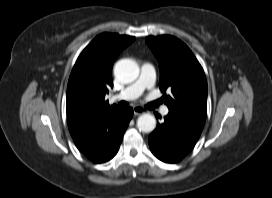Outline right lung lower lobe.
<instances>
[{"label": "right lung lower lobe", "instance_id": "98d812e1", "mask_svg": "<svg viewBox=\"0 0 272 198\" xmlns=\"http://www.w3.org/2000/svg\"><path fill=\"white\" fill-rule=\"evenodd\" d=\"M133 109L115 107L99 121L73 137L77 148L94 163H103L118 152Z\"/></svg>", "mask_w": 272, "mask_h": 198}]
</instances>
